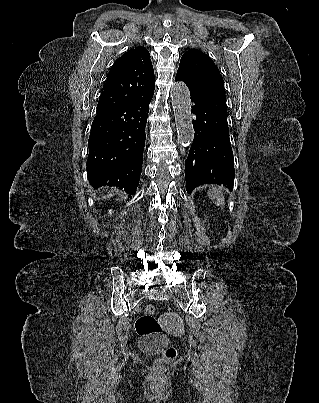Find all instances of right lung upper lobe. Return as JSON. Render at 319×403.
Segmentation results:
<instances>
[{
    "instance_id": "obj_1",
    "label": "right lung upper lobe",
    "mask_w": 319,
    "mask_h": 403,
    "mask_svg": "<svg viewBox=\"0 0 319 403\" xmlns=\"http://www.w3.org/2000/svg\"><path fill=\"white\" fill-rule=\"evenodd\" d=\"M154 89L150 54L144 47H135L117 59L109 71L96 113L152 97Z\"/></svg>"
}]
</instances>
